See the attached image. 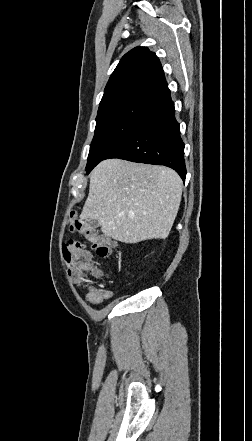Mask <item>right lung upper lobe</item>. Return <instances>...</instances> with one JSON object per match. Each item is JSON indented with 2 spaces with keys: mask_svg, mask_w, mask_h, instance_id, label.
I'll use <instances>...</instances> for the list:
<instances>
[{
  "mask_svg": "<svg viewBox=\"0 0 252 441\" xmlns=\"http://www.w3.org/2000/svg\"><path fill=\"white\" fill-rule=\"evenodd\" d=\"M167 86L158 57L146 47L125 54L110 76L98 112L134 100H146Z\"/></svg>",
  "mask_w": 252,
  "mask_h": 441,
  "instance_id": "cb5924a9",
  "label": "right lung upper lobe"
}]
</instances>
